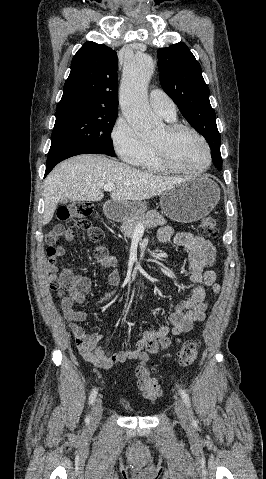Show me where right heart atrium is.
I'll list each match as a JSON object with an SVG mask.
<instances>
[{
    "label": "right heart atrium",
    "mask_w": 266,
    "mask_h": 479,
    "mask_svg": "<svg viewBox=\"0 0 266 479\" xmlns=\"http://www.w3.org/2000/svg\"><path fill=\"white\" fill-rule=\"evenodd\" d=\"M115 152L126 163L136 165L146 154L148 144L123 117L119 116L110 132Z\"/></svg>",
    "instance_id": "d8ad5b80"
}]
</instances>
